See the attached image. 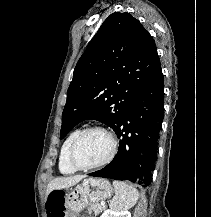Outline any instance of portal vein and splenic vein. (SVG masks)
<instances>
[{
    "mask_svg": "<svg viewBox=\"0 0 211 217\" xmlns=\"http://www.w3.org/2000/svg\"><path fill=\"white\" fill-rule=\"evenodd\" d=\"M104 205H105V203L102 202V203H101V206H104Z\"/></svg>",
    "mask_w": 211,
    "mask_h": 217,
    "instance_id": "1",
    "label": "portal vein and splenic vein"
}]
</instances>
